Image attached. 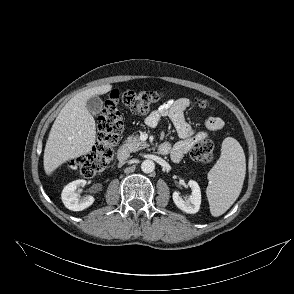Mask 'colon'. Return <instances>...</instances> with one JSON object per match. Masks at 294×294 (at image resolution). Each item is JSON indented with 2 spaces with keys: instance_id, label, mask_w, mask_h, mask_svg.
<instances>
[{
  "instance_id": "1",
  "label": "colon",
  "mask_w": 294,
  "mask_h": 294,
  "mask_svg": "<svg viewBox=\"0 0 294 294\" xmlns=\"http://www.w3.org/2000/svg\"><path fill=\"white\" fill-rule=\"evenodd\" d=\"M162 97L158 91H112L97 119V144L87 154L71 160V167L84 177H93L106 170L113 161L115 146L123 130L119 104H124L135 114H146ZM195 101L201 107L208 105L204 99ZM213 154L214 145L207 138L196 140L190 149L191 158L199 163L209 162Z\"/></svg>"
}]
</instances>
